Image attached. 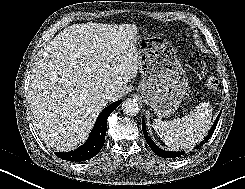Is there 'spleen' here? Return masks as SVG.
I'll return each instance as SVG.
<instances>
[{
	"label": "spleen",
	"mask_w": 245,
	"mask_h": 189,
	"mask_svg": "<svg viewBox=\"0 0 245 189\" xmlns=\"http://www.w3.org/2000/svg\"><path fill=\"white\" fill-rule=\"evenodd\" d=\"M212 118V107L202 102L188 115L171 121L154 119L153 127L162 141L172 149H188L207 134Z\"/></svg>",
	"instance_id": "obj_1"
}]
</instances>
